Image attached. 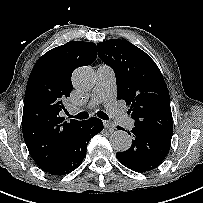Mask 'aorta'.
Instances as JSON below:
<instances>
[{
	"mask_svg": "<svg viewBox=\"0 0 203 203\" xmlns=\"http://www.w3.org/2000/svg\"><path fill=\"white\" fill-rule=\"evenodd\" d=\"M94 71L88 67H80L73 74V84L80 92L89 91L95 84ZM132 143L130 135L122 130L114 131L110 136V144L116 151L123 152L130 148Z\"/></svg>",
	"mask_w": 203,
	"mask_h": 203,
	"instance_id": "aorta-1",
	"label": "aorta"
}]
</instances>
